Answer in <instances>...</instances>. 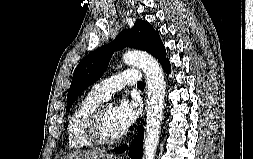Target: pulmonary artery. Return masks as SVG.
<instances>
[{
  "label": "pulmonary artery",
  "mask_w": 253,
  "mask_h": 159,
  "mask_svg": "<svg viewBox=\"0 0 253 159\" xmlns=\"http://www.w3.org/2000/svg\"><path fill=\"white\" fill-rule=\"evenodd\" d=\"M141 82V73L138 70L127 69L104 81L93 85L91 92L103 100H108L111 95L126 86L137 85Z\"/></svg>",
  "instance_id": "e3ab8cb5"
}]
</instances>
